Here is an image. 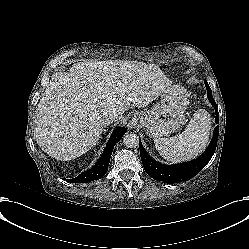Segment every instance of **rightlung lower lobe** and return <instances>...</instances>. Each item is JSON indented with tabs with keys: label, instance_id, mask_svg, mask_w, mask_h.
I'll return each instance as SVG.
<instances>
[{
	"label": "right lung lower lobe",
	"instance_id": "obj_1",
	"mask_svg": "<svg viewBox=\"0 0 249 249\" xmlns=\"http://www.w3.org/2000/svg\"><path fill=\"white\" fill-rule=\"evenodd\" d=\"M126 131L127 130L124 128H117L116 130H114L98 162L91 169L81 173L78 177L74 178L73 182L86 183L102 178L108 171L110 157L115 144L123 137Z\"/></svg>",
	"mask_w": 249,
	"mask_h": 249
}]
</instances>
